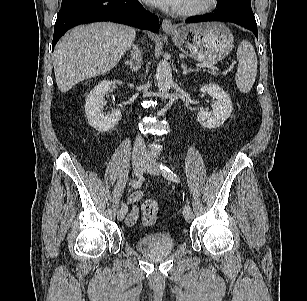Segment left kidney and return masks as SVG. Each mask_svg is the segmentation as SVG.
<instances>
[{"label": "left kidney", "instance_id": "1", "mask_svg": "<svg viewBox=\"0 0 307 301\" xmlns=\"http://www.w3.org/2000/svg\"><path fill=\"white\" fill-rule=\"evenodd\" d=\"M200 91L207 93L216 101L212 105V111L200 110L197 120L206 128H217L222 125L231 115L232 102L229 95L217 84L209 83L200 88Z\"/></svg>", "mask_w": 307, "mask_h": 301}]
</instances>
